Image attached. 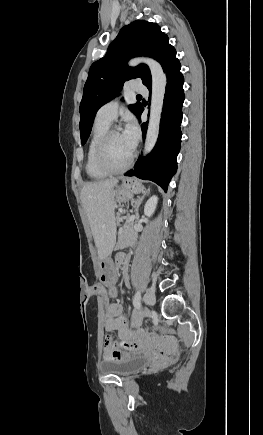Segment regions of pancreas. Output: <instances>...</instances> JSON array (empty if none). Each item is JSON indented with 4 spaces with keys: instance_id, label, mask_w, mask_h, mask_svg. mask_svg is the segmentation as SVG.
Returning <instances> with one entry per match:
<instances>
[{
    "instance_id": "cf45deb5",
    "label": "pancreas",
    "mask_w": 263,
    "mask_h": 435,
    "mask_svg": "<svg viewBox=\"0 0 263 435\" xmlns=\"http://www.w3.org/2000/svg\"><path fill=\"white\" fill-rule=\"evenodd\" d=\"M129 219V218H128ZM128 219L123 227L118 232V243L116 248L122 249L132 244L137 238V233L134 232V222H128Z\"/></svg>"
}]
</instances>
